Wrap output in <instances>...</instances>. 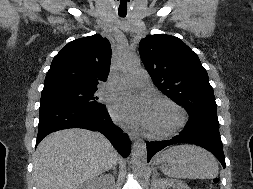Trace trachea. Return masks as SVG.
<instances>
[{"mask_svg": "<svg viewBox=\"0 0 253 189\" xmlns=\"http://www.w3.org/2000/svg\"><path fill=\"white\" fill-rule=\"evenodd\" d=\"M121 5H122V3H121ZM119 15H120L121 17H125V16H126V14H120V13H119Z\"/></svg>", "mask_w": 253, "mask_h": 189, "instance_id": "1", "label": "trachea"}]
</instances>
